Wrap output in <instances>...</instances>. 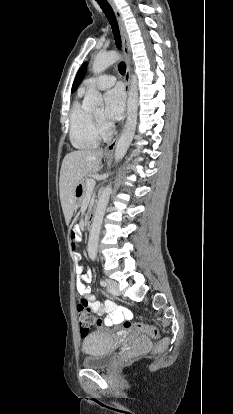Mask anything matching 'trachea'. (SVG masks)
I'll use <instances>...</instances> for the list:
<instances>
[{"label":"trachea","mask_w":233,"mask_h":414,"mask_svg":"<svg viewBox=\"0 0 233 414\" xmlns=\"http://www.w3.org/2000/svg\"><path fill=\"white\" fill-rule=\"evenodd\" d=\"M97 3L100 5L101 9L103 10L104 14L106 15L111 27H112V31H113V35H114V40H115V44L117 46L118 49L121 48V37H120V33H119V27H118V23L116 20V16L113 12L112 7L110 6V4L107 2V0H96ZM118 69L121 75H124L126 72V65L124 62H120L118 65Z\"/></svg>","instance_id":"3493384b"}]
</instances>
